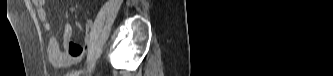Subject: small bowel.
<instances>
[{"instance_id":"1","label":"small bowel","mask_w":333,"mask_h":76,"mask_svg":"<svg viewBox=\"0 0 333 76\" xmlns=\"http://www.w3.org/2000/svg\"><path fill=\"white\" fill-rule=\"evenodd\" d=\"M37 8L38 18L44 22V27L47 31L52 29L50 22L48 21V10L45 6L44 0H33L32 1ZM92 28V21L90 19H85V30L87 33L86 42L88 41V35ZM65 44L66 50L63 51L60 47L58 39L51 36L48 41L47 53L50 62L53 66L58 68H66L75 63H77L85 50L84 45L76 44L71 40V33L68 25H65Z\"/></svg>"}]
</instances>
